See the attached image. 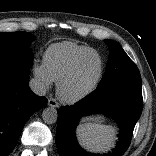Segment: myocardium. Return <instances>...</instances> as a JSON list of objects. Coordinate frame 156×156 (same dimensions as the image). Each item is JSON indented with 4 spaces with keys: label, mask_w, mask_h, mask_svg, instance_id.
<instances>
[{
    "label": "myocardium",
    "mask_w": 156,
    "mask_h": 156,
    "mask_svg": "<svg viewBox=\"0 0 156 156\" xmlns=\"http://www.w3.org/2000/svg\"><path fill=\"white\" fill-rule=\"evenodd\" d=\"M91 54H95L98 57L99 63H100V69H99V73H98L96 80L87 89L83 90L82 92L73 94V95L69 94L68 87L70 86V84L72 83L74 78L76 77L81 64ZM103 76H104V61H103V58L101 57V55L97 51L86 52V53L82 54L74 62L73 66L71 67L69 72L58 82V85H57L58 98L63 103H66L69 105L76 104V103L86 99L87 97H89L91 94H93L98 89L99 85L102 82Z\"/></svg>",
    "instance_id": "myocardium-1"
}]
</instances>
